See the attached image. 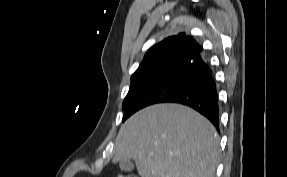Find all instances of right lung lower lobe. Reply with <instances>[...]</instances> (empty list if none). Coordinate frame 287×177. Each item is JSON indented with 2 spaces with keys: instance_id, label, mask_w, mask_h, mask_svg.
I'll return each instance as SVG.
<instances>
[{
  "instance_id": "right-lung-lower-lobe-1",
  "label": "right lung lower lobe",
  "mask_w": 287,
  "mask_h": 177,
  "mask_svg": "<svg viewBox=\"0 0 287 177\" xmlns=\"http://www.w3.org/2000/svg\"><path fill=\"white\" fill-rule=\"evenodd\" d=\"M173 102L192 107L219 131V105L215 79L209 65L201 54L194 60L184 62L156 79L125 114L155 103Z\"/></svg>"
}]
</instances>
